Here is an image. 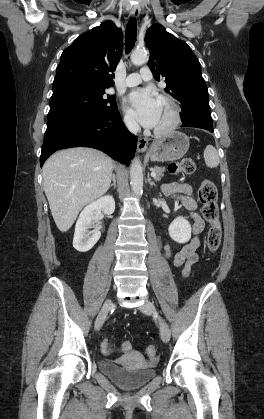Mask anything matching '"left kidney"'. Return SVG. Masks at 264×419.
I'll list each match as a JSON object with an SVG mask.
<instances>
[{"label": "left kidney", "mask_w": 264, "mask_h": 419, "mask_svg": "<svg viewBox=\"0 0 264 419\" xmlns=\"http://www.w3.org/2000/svg\"><path fill=\"white\" fill-rule=\"evenodd\" d=\"M172 240L177 243H186L191 238V225L184 217H177L168 228Z\"/></svg>", "instance_id": "1"}]
</instances>
